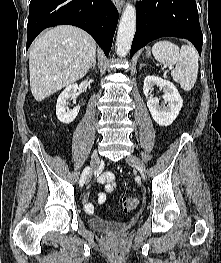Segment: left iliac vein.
I'll list each match as a JSON object with an SVG mask.
<instances>
[{
    "label": "left iliac vein",
    "mask_w": 221,
    "mask_h": 263,
    "mask_svg": "<svg viewBox=\"0 0 221 263\" xmlns=\"http://www.w3.org/2000/svg\"><path fill=\"white\" fill-rule=\"evenodd\" d=\"M126 161L131 166L136 168L142 176H144L145 166H144L143 162L137 156H135L134 154H131L126 158Z\"/></svg>",
    "instance_id": "left-iliac-vein-1"
}]
</instances>
